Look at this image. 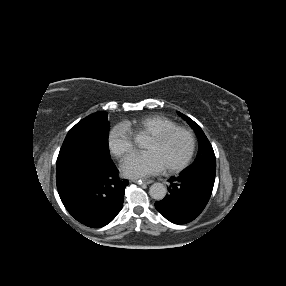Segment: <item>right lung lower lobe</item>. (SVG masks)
Returning <instances> with one entry per match:
<instances>
[{"mask_svg":"<svg viewBox=\"0 0 286 286\" xmlns=\"http://www.w3.org/2000/svg\"><path fill=\"white\" fill-rule=\"evenodd\" d=\"M58 193L68 212L82 224L100 228L123 207L127 180L118 177L110 159L84 155L57 163Z\"/></svg>","mask_w":286,"mask_h":286,"instance_id":"right-lung-lower-lobe-1","label":"right lung lower lobe"}]
</instances>
